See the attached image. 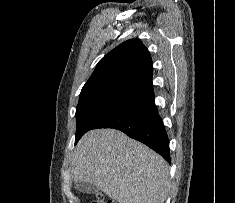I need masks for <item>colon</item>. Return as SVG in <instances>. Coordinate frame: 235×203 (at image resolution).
Here are the masks:
<instances>
[{
  "label": "colon",
  "mask_w": 235,
  "mask_h": 203,
  "mask_svg": "<svg viewBox=\"0 0 235 203\" xmlns=\"http://www.w3.org/2000/svg\"><path fill=\"white\" fill-rule=\"evenodd\" d=\"M93 203H116L114 200L106 198L102 195H97Z\"/></svg>",
  "instance_id": "1"
}]
</instances>
